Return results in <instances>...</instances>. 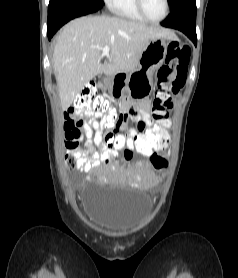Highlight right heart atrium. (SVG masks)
<instances>
[{"label":"right heart atrium","mask_w":238,"mask_h":278,"mask_svg":"<svg viewBox=\"0 0 238 278\" xmlns=\"http://www.w3.org/2000/svg\"><path fill=\"white\" fill-rule=\"evenodd\" d=\"M106 2L107 5H109V3L112 1V0H104Z\"/></svg>","instance_id":"1"}]
</instances>
